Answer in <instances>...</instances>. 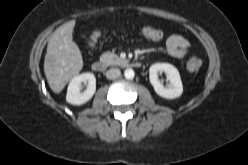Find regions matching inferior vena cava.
Listing matches in <instances>:
<instances>
[{"label": "inferior vena cava", "instance_id": "obj_1", "mask_svg": "<svg viewBox=\"0 0 248 165\" xmlns=\"http://www.w3.org/2000/svg\"><path fill=\"white\" fill-rule=\"evenodd\" d=\"M120 75H121V71H120L119 69H116V68L109 69V70H107V72H106V77H107L108 79H116V78H118Z\"/></svg>", "mask_w": 248, "mask_h": 165}]
</instances>
